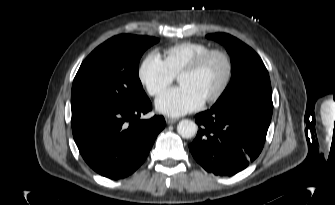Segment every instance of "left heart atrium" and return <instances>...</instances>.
Masks as SVG:
<instances>
[{"label": "left heart atrium", "instance_id": "39dd6f15", "mask_svg": "<svg viewBox=\"0 0 335 205\" xmlns=\"http://www.w3.org/2000/svg\"><path fill=\"white\" fill-rule=\"evenodd\" d=\"M203 103L204 100L193 89L180 85L162 93L155 105L160 113L177 117L199 109Z\"/></svg>", "mask_w": 335, "mask_h": 205}]
</instances>
